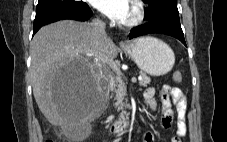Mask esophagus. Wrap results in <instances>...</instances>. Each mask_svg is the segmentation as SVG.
<instances>
[{
	"label": "esophagus",
	"instance_id": "esophagus-1",
	"mask_svg": "<svg viewBox=\"0 0 227 142\" xmlns=\"http://www.w3.org/2000/svg\"><path fill=\"white\" fill-rule=\"evenodd\" d=\"M120 46H126V43L125 42H120Z\"/></svg>",
	"mask_w": 227,
	"mask_h": 142
}]
</instances>
